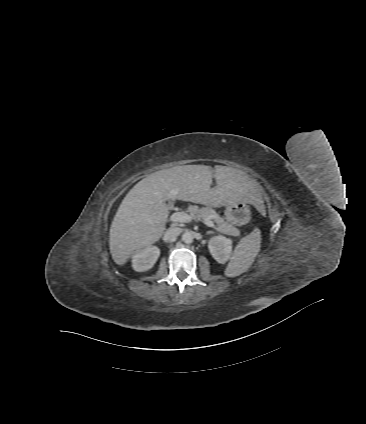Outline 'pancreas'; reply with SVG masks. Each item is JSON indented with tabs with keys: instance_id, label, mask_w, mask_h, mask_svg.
Instances as JSON below:
<instances>
[{
	"instance_id": "1",
	"label": "pancreas",
	"mask_w": 366,
	"mask_h": 424,
	"mask_svg": "<svg viewBox=\"0 0 366 424\" xmlns=\"http://www.w3.org/2000/svg\"><path fill=\"white\" fill-rule=\"evenodd\" d=\"M190 214H192L199 221H202L205 218L213 219L217 223V231L222 234L232 235L235 237L240 235V231L236 227L226 222L212 208L206 207L199 209L197 206H194L190 208Z\"/></svg>"
}]
</instances>
